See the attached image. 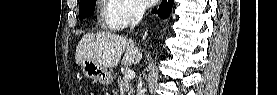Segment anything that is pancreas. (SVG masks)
I'll use <instances>...</instances> for the list:
<instances>
[{
    "label": "pancreas",
    "instance_id": "1",
    "mask_svg": "<svg viewBox=\"0 0 277 95\" xmlns=\"http://www.w3.org/2000/svg\"><path fill=\"white\" fill-rule=\"evenodd\" d=\"M118 87L120 88V91L123 93H127L128 95H131L133 92L132 85L128 79L125 77H119L118 78Z\"/></svg>",
    "mask_w": 277,
    "mask_h": 95
}]
</instances>
